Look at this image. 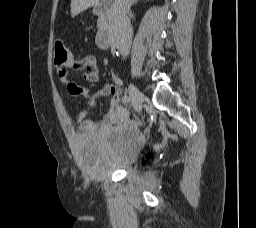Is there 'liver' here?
Segmentation results:
<instances>
[{"instance_id": "liver-1", "label": "liver", "mask_w": 256, "mask_h": 228, "mask_svg": "<svg viewBox=\"0 0 256 228\" xmlns=\"http://www.w3.org/2000/svg\"><path fill=\"white\" fill-rule=\"evenodd\" d=\"M99 0H71V16L75 17L89 7L96 6Z\"/></svg>"}]
</instances>
